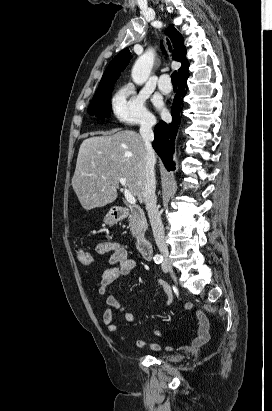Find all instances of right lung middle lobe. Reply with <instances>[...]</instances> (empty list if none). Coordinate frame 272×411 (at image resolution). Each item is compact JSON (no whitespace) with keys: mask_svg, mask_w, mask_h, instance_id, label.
<instances>
[{"mask_svg":"<svg viewBox=\"0 0 272 411\" xmlns=\"http://www.w3.org/2000/svg\"><path fill=\"white\" fill-rule=\"evenodd\" d=\"M113 88L114 84L97 89L88 108L90 115H96L100 119L109 117L111 111L110 99Z\"/></svg>","mask_w":272,"mask_h":411,"instance_id":"1","label":"right lung middle lobe"}]
</instances>
